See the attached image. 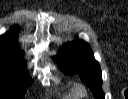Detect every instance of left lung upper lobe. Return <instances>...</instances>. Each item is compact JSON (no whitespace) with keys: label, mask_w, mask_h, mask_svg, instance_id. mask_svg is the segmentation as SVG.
<instances>
[{"label":"left lung upper lobe","mask_w":128,"mask_h":99,"mask_svg":"<svg viewBox=\"0 0 128 99\" xmlns=\"http://www.w3.org/2000/svg\"><path fill=\"white\" fill-rule=\"evenodd\" d=\"M55 59L65 73L78 74L90 87L96 99H104L101 69L85 41L75 40L64 44Z\"/></svg>","instance_id":"1"}]
</instances>
